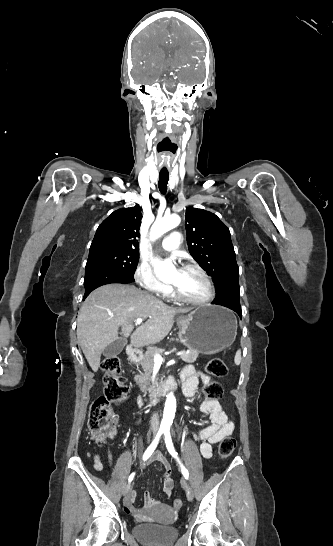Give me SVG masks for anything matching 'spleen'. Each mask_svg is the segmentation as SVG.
Wrapping results in <instances>:
<instances>
[{
  "label": "spleen",
  "instance_id": "3e777b00",
  "mask_svg": "<svg viewBox=\"0 0 333 546\" xmlns=\"http://www.w3.org/2000/svg\"><path fill=\"white\" fill-rule=\"evenodd\" d=\"M234 362L236 365H239L241 362V352L239 350L235 354Z\"/></svg>",
  "mask_w": 333,
  "mask_h": 546
}]
</instances>
